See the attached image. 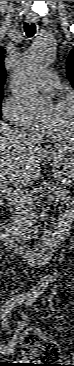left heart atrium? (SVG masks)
Returning a JSON list of instances; mask_svg holds the SVG:
<instances>
[{"instance_id":"39dd6f15","label":"left heart atrium","mask_w":74,"mask_h":366,"mask_svg":"<svg viewBox=\"0 0 74 366\" xmlns=\"http://www.w3.org/2000/svg\"><path fill=\"white\" fill-rule=\"evenodd\" d=\"M47 123H48V120H45V121H44V125L46 126V125H47Z\"/></svg>"}]
</instances>
